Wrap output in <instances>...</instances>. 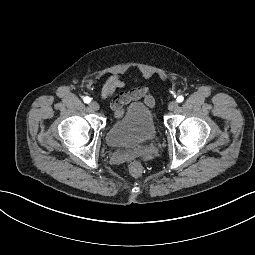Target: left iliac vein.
I'll use <instances>...</instances> for the list:
<instances>
[{
  "mask_svg": "<svg viewBox=\"0 0 255 255\" xmlns=\"http://www.w3.org/2000/svg\"><path fill=\"white\" fill-rule=\"evenodd\" d=\"M177 107H178V103H177V101H171L170 103H169V105H168V110H170V111H173V110H175V109H177Z\"/></svg>",
  "mask_w": 255,
  "mask_h": 255,
  "instance_id": "obj_1",
  "label": "left iliac vein"
}]
</instances>
